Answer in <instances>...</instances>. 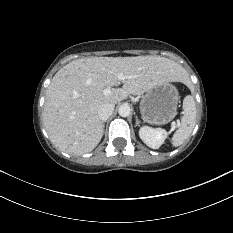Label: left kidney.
I'll return each mask as SVG.
<instances>
[{"label":"left kidney","instance_id":"1","mask_svg":"<svg viewBox=\"0 0 233 233\" xmlns=\"http://www.w3.org/2000/svg\"><path fill=\"white\" fill-rule=\"evenodd\" d=\"M139 136L142 141L152 149H158L167 138V132L161 128L141 127Z\"/></svg>","mask_w":233,"mask_h":233}]
</instances>
